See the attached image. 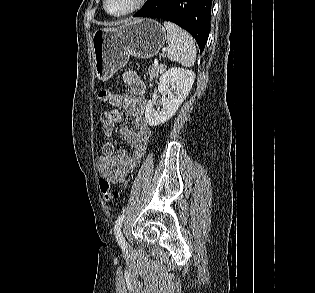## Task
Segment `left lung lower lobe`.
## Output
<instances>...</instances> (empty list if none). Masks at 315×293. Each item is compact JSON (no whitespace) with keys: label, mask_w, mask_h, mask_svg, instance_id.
Returning <instances> with one entry per match:
<instances>
[{"label":"left lung lower lobe","mask_w":315,"mask_h":293,"mask_svg":"<svg viewBox=\"0 0 315 293\" xmlns=\"http://www.w3.org/2000/svg\"><path fill=\"white\" fill-rule=\"evenodd\" d=\"M211 0H147L133 17H156L187 30L203 52L210 30Z\"/></svg>","instance_id":"obj_1"}]
</instances>
